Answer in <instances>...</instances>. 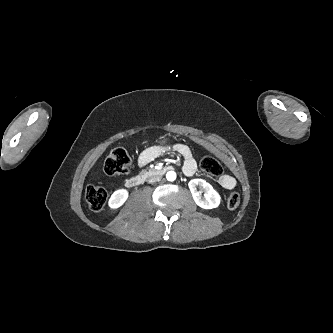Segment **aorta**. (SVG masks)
I'll return each instance as SVG.
<instances>
[{
  "mask_svg": "<svg viewBox=\"0 0 333 333\" xmlns=\"http://www.w3.org/2000/svg\"><path fill=\"white\" fill-rule=\"evenodd\" d=\"M166 179L168 181H174L176 179V173L174 171L167 172Z\"/></svg>",
  "mask_w": 333,
  "mask_h": 333,
  "instance_id": "1",
  "label": "aorta"
}]
</instances>
